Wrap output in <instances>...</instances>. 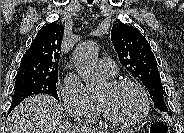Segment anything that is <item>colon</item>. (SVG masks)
<instances>
[{"label": "colon", "instance_id": "1", "mask_svg": "<svg viewBox=\"0 0 184 133\" xmlns=\"http://www.w3.org/2000/svg\"><path fill=\"white\" fill-rule=\"evenodd\" d=\"M150 133H168V128L164 123L156 122L151 126Z\"/></svg>", "mask_w": 184, "mask_h": 133}]
</instances>
